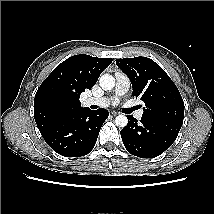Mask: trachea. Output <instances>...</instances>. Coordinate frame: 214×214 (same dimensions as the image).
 <instances>
[{
  "label": "trachea",
  "instance_id": "3493384b",
  "mask_svg": "<svg viewBox=\"0 0 214 214\" xmlns=\"http://www.w3.org/2000/svg\"><path fill=\"white\" fill-rule=\"evenodd\" d=\"M135 109H137V106H135V107L131 108V111H133V110H135Z\"/></svg>",
  "mask_w": 214,
  "mask_h": 214
}]
</instances>
